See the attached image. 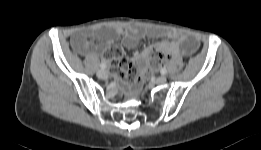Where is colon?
I'll use <instances>...</instances> for the list:
<instances>
[{"label": "colon", "instance_id": "1", "mask_svg": "<svg viewBox=\"0 0 261 150\" xmlns=\"http://www.w3.org/2000/svg\"><path fill=\"white\" fill-rule=\"evenodd\" d=\"M168 57L169 55L162 46L157 45L150 48L146 55V63H144L142 68L139 69L141 75L136 79L137 83H142L147 77L149 71L157 69L168 59Z\"/></svg>", "mask_w": 261, "mask_h": 150}]
</instances>
